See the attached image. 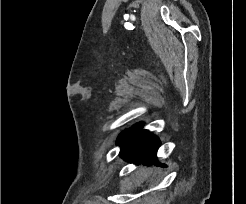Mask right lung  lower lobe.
<instances>
[{"label":"right lung lower lobe","instance_id":"right-lung-lower-lobe-1","mask_svg":"<svg viewBox=\"0 0 246 204\" xmlns=\"http://www.w3.org/2000/svg\"><path fill=\"white\" fill-rule=\"evenodd\" d=\"M142 125L138 123L119 136L120 156L129 162L162 165L156 157L160 141L149 131L141 129Z\"/></svg>","mask_w":246,"mask_h":204}]
</instances>
